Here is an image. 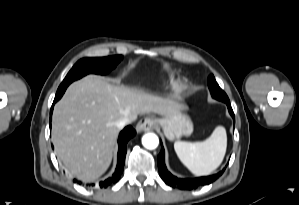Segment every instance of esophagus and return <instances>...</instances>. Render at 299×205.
<instances>
[{"label":"esophagus","instance_id":"esophagus-1","mask_svg":"<svg viewBox=\"0 0 299 205\" xmlns=\"http://www.w3.org/2000/svg\"><path fill=\"white\" fill-rule=\"evenodd\" d=\"M155 125H156V121L153 118L144 117L136 125V130L138 132L150 131L151 129L154 128Z\"/></svg>","mask_w":299,"mask_h":205}]
</instances>
